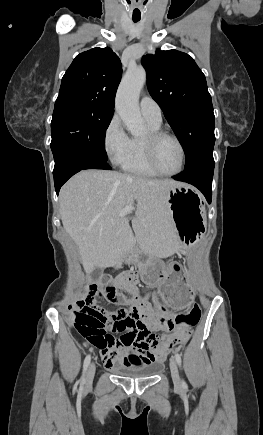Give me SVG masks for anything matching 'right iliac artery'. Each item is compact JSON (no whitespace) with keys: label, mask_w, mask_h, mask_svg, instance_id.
I'll return each instance as SVG.
<instances>
[{"label":"right iliac artery","mask_w":263,"mask_h":435,"mask_svg":"<svg viewBox=\"0 0 263 435\" xmlns=\"http://www.w3.org/2000/svg\"><path fill=\"white\" fill-rule=\"evenodd\" d=\"M90 361H91V356L90 355H87L86 356V358H85V360H84V365H83V374H82V377H81V379H80V382H81V385H84L85 384V380H86V371H87V369H88V366H89V364H90Z\"/></svg>","instance_id":"82829eb1"}]
</instances>
